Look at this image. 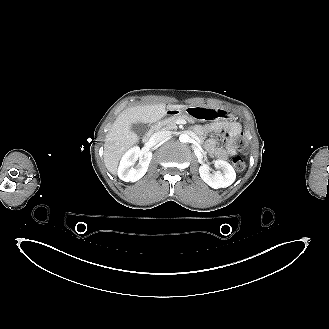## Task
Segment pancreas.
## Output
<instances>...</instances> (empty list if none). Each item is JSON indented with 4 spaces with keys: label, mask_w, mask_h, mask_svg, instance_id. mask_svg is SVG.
<instances>
[{
    "label": "pancreas",
    "mask_w": 329,
    "mask_h": 329,
    "mask_svg": "<svg viewBox=\"0 0 329 329\" xmlns=\"http://www.w3.org/2000/svg\"><path fill=\"white\" fill-rule=\"evenodd\" d=\"M190 121V118L180 115V116H172L170 118H167L165 120H162L161 122L158 123L157 127L159 129L163 130H176L177 129V121Z\"/></svg>",
    "instance_id": "1"
}]
</instances>
